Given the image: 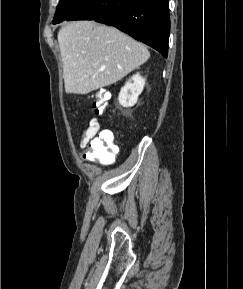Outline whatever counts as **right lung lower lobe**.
Masks as SVG:
<instances>
[{
	"label": "right lung lower lobe",
	"instance_id": "obj_1",
	"mask_svg": "<svg viewBox=\"0 0 243 289\" xmlns=\"http://www.w3.org/2000/svg\"><path fill=\"white\" fill-rule=\"evenodd\" d=\"M66 20H94L115 26L167 57L168 0H83Z\"/></svg>",
	"mask_w": 243,
	"mask_h": 289
}]
</instances>
